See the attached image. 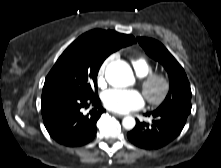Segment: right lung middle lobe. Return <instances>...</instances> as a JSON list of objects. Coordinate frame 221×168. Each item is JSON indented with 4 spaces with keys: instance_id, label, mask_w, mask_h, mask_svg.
I'll list each match as a JSON object with an SVG mask.
<instances>
[{
    "instance_id": "1",
    "label": "right lung middle lobe",
    "mask_w": 221,
    "mask_h": 168,
    "mask_svg": "<svg viewBox=\"0 0 221 168\" xmlns=\"http://www.w3.org/2000/svg\"><path fill=\"white\" fill-rule=\"evenodd\" d=\"M110 53L87 43L73 42L58 58L43 89H62L84 96L97 93V75Z\"/></svg>"
}]
</instances>
